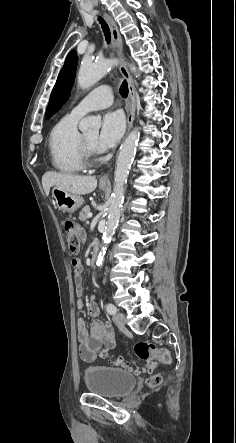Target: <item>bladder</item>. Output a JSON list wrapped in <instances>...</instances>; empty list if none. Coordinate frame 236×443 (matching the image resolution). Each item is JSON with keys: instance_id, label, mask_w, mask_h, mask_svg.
Here are the masks:
<instances>
[{"instance_id": "31cf9c89", "label": "bladder", "mask_w": 236, "mask_h": 443, "mask_svg": "<svg viewBox=\"0 0 236 443\" xmlns=\"http://www.w3.org/2000/svg\"><path fill=\"white\" fill-rule=\"evenodd\" d=\"M84 381L91 394L106 398H120L128 394L136 384L133 373L115 367L91 366L85 369Z\"/></svg>"}]
</instances>
